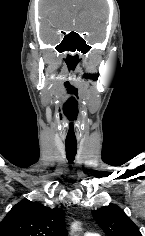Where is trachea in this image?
I'll return each instance as SVG.
<instances>
[{
	"label": "trachea",
	"instance_id": "obj_1",
	"mask_svg": "<svg viewBox=\"0 0 145 236\" xmlns=\"http://www.w3.org/2000/svg\"><path fill=\"white\" fill-rule=\"evenodd\" d=\"M66 156L69 163H73L75 159V155L77 152V143L76 142H66Z\"/></svg>",
	"mask_w": 145,
	"mask_h": 236
}]
</instances>
